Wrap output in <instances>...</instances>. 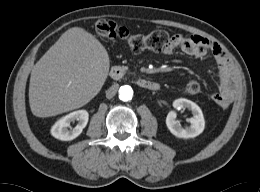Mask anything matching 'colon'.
Returning a JSON list of instances; mask_svg holds the SVG:
<instances>
[{
	"label": "colon",
	"instance_id": "5ec220e1",
	"mask_svg": "<svg viewBox=\"0 0 260 192\" xmlns=\"http://www.w3.org/2000/svg\"><path fill=\"white\" fill-rule=\"evenodd\" d=\"M95 30L101 39H121L134 51H143L146 49L162 51L172 43L175 37L165 30H155L148 34H134L126 27L105 18L96 22ZM183 91L191 95L197 94L200 91V85L196 81H189L184 85Z\"/></svg>",
	"mask_w": 260,
	"mask_h": 192
}]
</instances>
